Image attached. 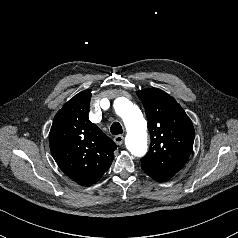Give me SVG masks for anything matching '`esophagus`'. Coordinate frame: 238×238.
I'll return each mask as SVG.
<instances>
[{"label": "esophagus", "mask_w": 238, "mask_h": 238, "mask_svg": "<svg viewBox=\"0 0 238 238\" xmlns=\"http://www.w3.org/2000/svg\"><path fill=\"white\" fill-rule=\"evenodd\" d=\"M124 137L122 135H117L114 137V142L118 145L121 146L123 144Z\"/></svg>", "instance_id": "esophagus-1"}]
</instances>
